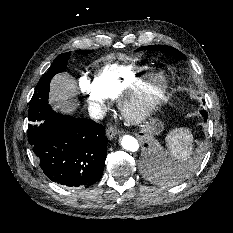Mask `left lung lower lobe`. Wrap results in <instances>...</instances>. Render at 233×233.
Listing matches in <instances>:
<instances>
[{"label":"left lung lower lobe","instance_id":"left-lung-lower-lobe-1","mask_svg":"<svg viewBox=\"0 0 233 233\" xmlns=\"http://www.w3.org/2000/svg\"><path fill=\"white\" fill-rule=\"evenodd\" d=\"M201 114H202V116L205 118V120H206V118H207V113H206V111L205 110H202V112H201ZM146 146V145H145Z\"/></svg>","mask_w":233,"mask_h":233}]
</instances>
